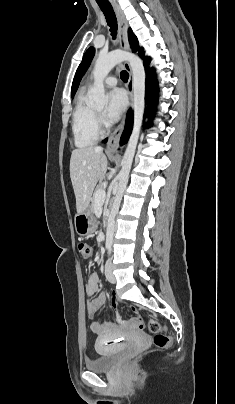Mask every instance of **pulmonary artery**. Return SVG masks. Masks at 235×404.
<instances>
[{"mask_svg":"<svg viewBox=\"0 0 235 404\" xmlns=\"http://www.w3.org/2000/svg\"><path fill=\"white\" fill-rule=\"evenodd\" d=\"M104 84L107 87H113L117 84V78L115 76H108L104 79Z\"/></svg>","mask_w":235,"mask_h":404,"instance_id":"obj_1","label":"pulmonary artery"}]
</instances>
